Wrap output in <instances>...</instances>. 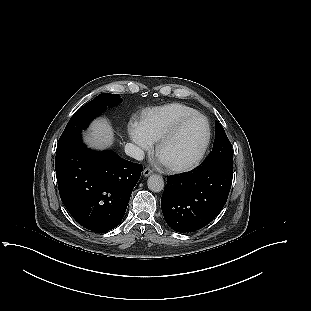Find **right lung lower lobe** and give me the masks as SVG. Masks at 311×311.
<instances>
[{"mask_svg":"<svg viewBox=\"0 0 311 311\" xmlns=\"http://www.w3.org/2000/svg\"><path fill=\"white\" fill-rule=\"evenodd\" d=\"M55 170L69 213L86 229L100 232L121 222L143 166L111 151H92L78 136L57 148Z\"/></svg>","mask_w":311,"mask_h":311,"instance_id":"right-lung-lower-lobe-1","label":"right lung lower lobe"}]
</instances>
